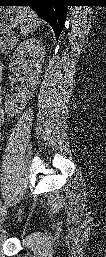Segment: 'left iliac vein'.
I'll use <instances>...</instances> for the list:
<instances>
[{
  "mask_svg": "<svg viewBox=\"0 0 106 257\" xmlns=\"http://www.w3.org/2000/svg\"><path fill=\"white\" fill-rule=\"evenodd\" d=\"M6 206L5 205H3L2 206V208H1V211H0V223L2 222V221H4V217H5V215H6Z\"/></svg>",
  "mask_w": 106,
  "mask_h": 257,
  "instance_id": "left-iliac-vein-1",
  "label": "left iliac vein"
}]
</instances>
